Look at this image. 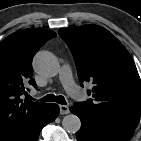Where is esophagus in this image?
Segmentation results:
<instances>
[{"label":"esophagus","instance_id":"1","mask_svg":"<svg viewBox=\"0 0 141 141\" xmlns=\"http://www.w3.org/2000/svg\"><path fill=\"white\" fill-rule=\"evenodd\" d=\"M59 108H60L61 115H65L70 112L69 107L67 105H60Z\"/></svg>","mask_w":141,"mask_h":141}]
</instances>
